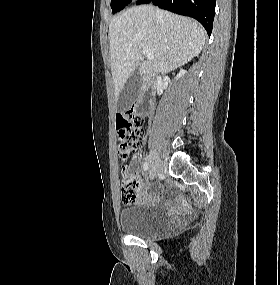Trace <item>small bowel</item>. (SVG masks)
<instances>
[{
	"instance_id": "c3829d8e",
	"label": "small bowel",
	"mask_w": 280,
	"mask_h": 285,
	"mask_svg": "<svg viewBox=\"0 0 280 285\" xmlns=\"http://www.w3.org/2000/svg\"><path fill=\"white\" fill-rule=\"evenodd\" d=\"M140 160L136 159L133 161V164L135 166H139L140 165ZM134 177V179L137 182V200L138 201H142V202H148V203H154V202H158L160 200L159 196L153 195L152 193H150L146 186L144 185V183L142 182V180L138 177V176H132ZM162 189V188H160Z\"/></svg>"
}]
</instances>
